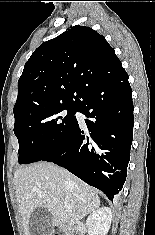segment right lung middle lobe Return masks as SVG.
Here are the masks:
<instances>
[{"label":"right lung middle lobe","mask_w":155,"mask_h":235,"mask_svg":"<svg viewBox=\"0 0 155 235\" xmlns=\"http://www.w3.org/2000/svg\"><path fill=\"white\" fill-rule=\"evenodd\" d=\"M76 104L31 110L15 118L14 134L19 141V164L43 160L59 149L78 122Z\"/></svg>","instance_id":"right-lung-middle-lobe-1"}]
</instances>
